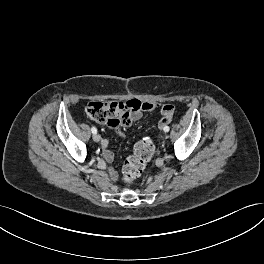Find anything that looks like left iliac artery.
<instances>
[{
	"mask_svg": "<svg viewBox=\"0 0 264 264\" xmlns=\"http://www.w3.org/2000/svg\"><path fill=\"white\" fill-rule=\"evenodd\" d=\"M163 130H164V132H168V131L170 130V128H169L168 126H165V127L163 128Z\"/></svg>",
	"mask_w": 264,
	"mask_h": 264,
	"instance_id": "obj_1",
	"label": "left iliac artery"
}]
</instances>
